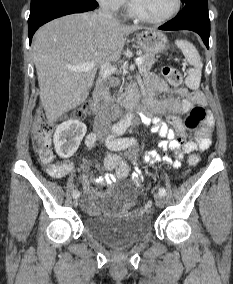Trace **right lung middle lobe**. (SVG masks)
Segmentation results:
<instances>
[{
	"instance_id": "1",
	"label": "right lung middle lobe",
	"mask_w": 233,
	"mask_h": 284,
	"mask_svg": "<svg viewBox=\"0 0 233 284\" xmlns=\"http://www.w3.org/2000/svg\"><path fill=\"white\" fill-rule=\"evenodd\" d=\"M59 1H87V0H31V9L43 4L59 2Z\"/></svg>"
}]
</instances>
